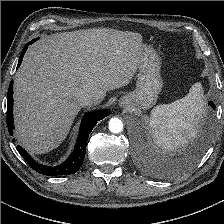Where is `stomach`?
<instances>
[{"label": "stomach", "mask_w": 224, "mask_h": 224, "mask_svg": "<svg viewBox=\"0 0 224 224\" xmlns=\"http://www.w3.org/2000/svg\"><path fill=\"white\" fill-rule=\"evenodd\" d=\"M162 85L159 56L154 49L144 46L138 64L136 89L122 97L120 104L125 108L148 109L156 103Z\"/></svg>", "instance_id": "stomach-1"}]
</instances>
